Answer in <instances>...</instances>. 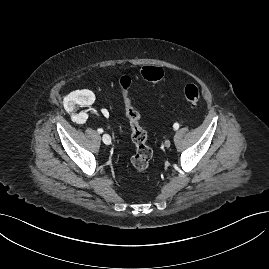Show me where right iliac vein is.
I'll return each instance as SVG.
<instances>
[{"label": "right iliac vein", "mask_w": 269, "mask_h": 269, "mask_svg": "<svg viewBox=\"0 0 269 269\" xmlns=\"http://www.w3.org/2000/svg\"><path fill=\"white\" fill-rule=\"evenodd\" d=\"M102 140L106 145L111 144V137L108 134H103Z\"/></svg>", "instance_id": "1"}]
</instances>
